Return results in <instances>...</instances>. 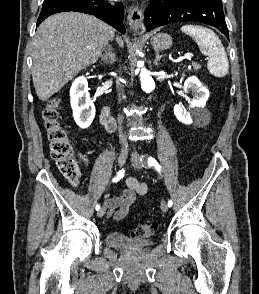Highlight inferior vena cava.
<instances>
[{"label": "inferior vena cava", "instance_id": "1", "mask_svg": "<svg viewBox=\"0 0 259 294\" xmlns=\"http://www.w3.org/2000/svg\"><path fill=\"white\" fill-rule=\"evenodd\" d=\"M122 85H121V83H120V81H118V91H119V94H118V97H119V102L121 101V92H123L122 91ZM121 119H122V117L119 115L118 116V121L119 122H121ZM121 142L123 143V145H125V146H127V141H126V139L125 138H123V137H121Z\"/></svg>", "mask_w": 259, "mask_h": 294}]
</instances>
